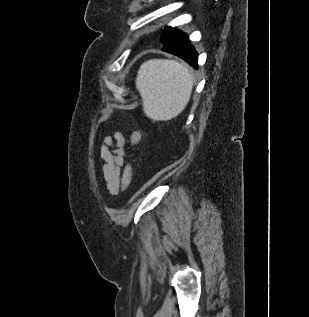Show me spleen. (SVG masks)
Here are the masks:
<instances>
[{
	"mask_svg": "<svg viewBox=\"0 0 309 317\" xmlns=\"http://www.w3.org/2000/svg\"><path fill=\"white\" fill-rule=\"evenodd\" d=\"M194 84L188 67L167 59H152L140 66L136 78L143 110L154 121L177 117L187 106Z\"/></svg>",
	"mask_w": 309,
	"mask_h": 317,
	"instance_id": "obj_1",
	"label": "spleen"
}]
</instances>
